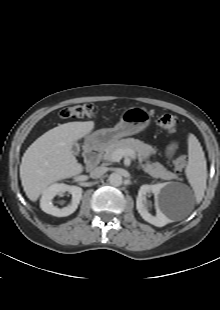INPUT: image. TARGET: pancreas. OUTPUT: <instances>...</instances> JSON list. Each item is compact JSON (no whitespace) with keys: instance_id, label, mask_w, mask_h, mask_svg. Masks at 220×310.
I'll use <instances>...</instances> for the list:
<instances>
[{"instance_id":"cf45deb5","label":"pancreas","mask_w":220,"mask_h":310,"mask_svg":"<svg viewBox=\"0 0 220 310\" xmlns=\"http://www.w3.org/2000/svg\"><path fill=\"white\" fill-rule=\"evenodd\" d=\"M118 149H131L137 154L138 159L142 161H146L145 164L142 165L143 170L151 175L154 178H160L163 180H171L175 179L176 175L170 171H168L163 165L158 162L151 163L148 161L149 157L155 153L154 148L152 146L145 144L144 142L134 139L127 138L117 140L107 147L104 148L103 159L106 162H113V153Z\"/></svg>"}]
</instances>
